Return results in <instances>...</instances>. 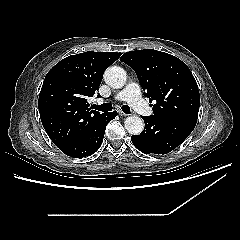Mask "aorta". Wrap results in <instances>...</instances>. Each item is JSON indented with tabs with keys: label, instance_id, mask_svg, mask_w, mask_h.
Instances as JSON below:
<instances>
[{
	"label": "aorta",
	"instance_id": "762f6f07",
	"mask_svg": "<svg viewBox=\"0 0 240 240\" xmlns=\"http://www.w3.org/2000/svg\"><path fill=\"white\" fill-rule=\"evenodd\" d=\"M104 80L112 88H122L126 83V72L118 66L109 67L104 73ZM124 123L125 129L131 135H139L144 129L142 118L136 115L127 117Z\"/></svg>",
	"mask_w": 240,
	"mask_h": 240
}]
</instances>
